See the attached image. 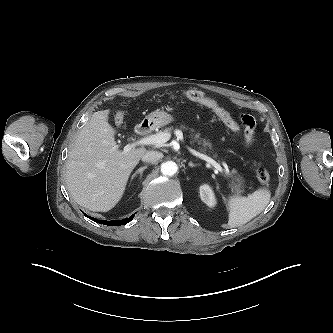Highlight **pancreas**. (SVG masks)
I'll use <instances>...</instances> for the list:
<instances>
[{
    "mask_svg": "<svg viewBox=\"0 0 333 333\" xmlns=\"http://www.w3.org/2000/svg\"><path fill=\"white\" fill-rule=\"evenodd\" d=\"M182 129H186V127L182 126ZM173 129L171 127L165 128L163 132L170 133ZM192 141L191 143L196 142L198 145H201V151L206 152L207 150L211 153H213L212 150V144L206 140V139H201L199 137V134L195 133L194 130H192ZM227 178H230V183L229 187L231 188V191L236 194H241L243 192L244 188V180L240 175H236L235 172H229L226 173Z\"/></svg>",
    "mask_w": 333,
    "mask_h": 333,
    "instance_id": "cf45deb5",
    "label": "pancreas"
}]
</instances>
